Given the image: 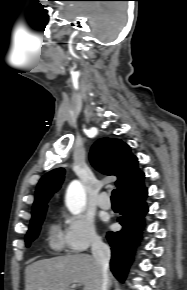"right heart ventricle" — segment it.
I'll return each mask as SVG.
<instances>
[{"label":"right heart ventricle","instance_id":"right-heart-ventricle-1","mask_svg":"<svg viewBox=\"0 0 187 290\" xmlns=\"http://www.w3.org/2000/svg\"><path fill=\"white\" fill-rule=\"evenodd\" d=\"M49 245L54 250H61L65 245L62 231L57 225H53L49 232Z\"/></svg>","mask_w":187,"mask_h":290}]
</instances>
